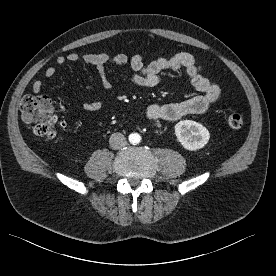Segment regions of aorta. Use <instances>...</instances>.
<instances>
[{"instance_id":"aorta-1","label":"aorta","mask_w":276,"mask_h":276,"mask_svg":"<svg viewBox=\"0 0 276 276\" xmlns=\"http://www.w3.org/2000/svg\"><path fill=\"white\" fill-rule=\"evenodd\" d=\"M130 141L132 143H138L140 141V135H138V134H132L130 136Z\"/></svg>"}]
</instances>
